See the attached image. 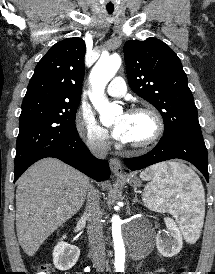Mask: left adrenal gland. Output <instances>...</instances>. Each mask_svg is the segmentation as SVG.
Masks as SVG:
<instances>
[{
	"label": "left adrenal gland",
	"mask_w": 215,
	"mask_h": 274,
	"mask_svg": "<svg viewBox=\"0 0 215 274\" xmlns=\"http://www.w3.org/2000/svg\"><path fill=\"white\" fill-rule=\"evenodd\" d=\"M136 202H138V198H137V195L135 194V197H134V199L132 201V205L135 204Z\"/></svg>",
	"instance_id": "left-adrenal-gland-1"
}]
</instances>
